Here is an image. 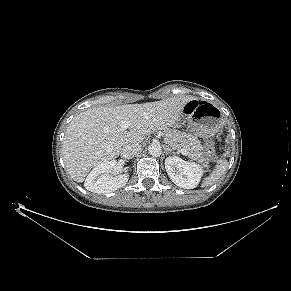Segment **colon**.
Returning a JSON list of instances; mask_svg holds the SVG:
<instances>
[{"label":"colon","instance_id":"5ec220e1","mask_svg":"<svg viewBox=\"0 0 291 291\" xmlns=\"http://www.w3.org/2000/svg\"><path fill=\"white\" fill-rule=\"evenodd\" d=\"M205 154L208 157H214L215 155V148L212 141H207L204 146Z\"/></svg>","mask_w":291,"mask_h":291}]
</instances>
